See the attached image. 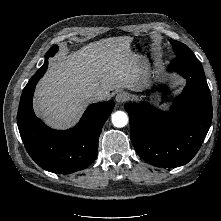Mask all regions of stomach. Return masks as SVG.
Listing matches in <instances>:
<instances>
[{"label":"stomach","instance_id":"0dacf381","mask_svg":"<svg viewBox=\"0 0 221 221\" xmlns=\"http://www.w3.org/2000/svg\"><path fill=\"white\" fill-rule=\"evenodd\" d=\"M138 55L142 58V55H140V54H138ZM142 71H143V70H142ZM141 74H142V73H140L137 78H139Z\"/></svg>","mask_w":221,"mask_h":221}]
</instances>
